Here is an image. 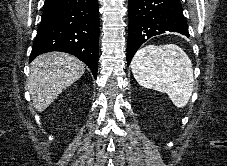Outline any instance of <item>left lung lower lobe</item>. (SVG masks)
<instances>
[{"label": "left lung lower lobe", "mask_w": 227, "mask_h": 166, "mask_svg": "<svg viewBox=\"0 0 227 166\" xmlns=\"http://www.w3.org/2000/svg\"><path fill=\"white\" fill-rule=\"evenodd\" d=\"M166 31L190 36L180 0H129L127 65L144 42Z\"/></svg>", "instance_id": "left-lung-lower-lobe-1"}]
</instances>
